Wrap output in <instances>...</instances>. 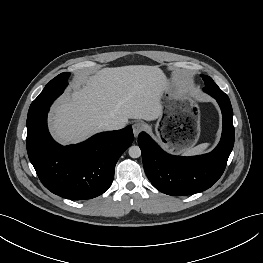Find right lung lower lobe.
<instances>
[{"mask_svg": "<svg viewBox=\"0 0 263 263\" xmlns=\"http://www.w3.org/2000/svg\"><path fill=\"white\" fill-rule=\"evenodd\" d=\"M50 105L28 114L27 118V152L40 181L52 193L67 199L84 200L101 195L113 181L119 157L133 142L132 127L61 146L47 128Z\"/></svg>", "mask_w": 263, "mask_h": 263, "instance_id": "98d812e1", "label": "right lung lower lobe"}]
</instances>
